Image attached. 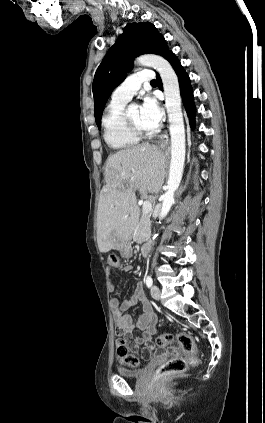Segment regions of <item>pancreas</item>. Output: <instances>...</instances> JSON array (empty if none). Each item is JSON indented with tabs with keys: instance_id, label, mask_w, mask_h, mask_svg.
Instances as JSON below:
<instances>
[{
	"instance_id": "obj_1",
	"label": "pancreas",
	"mask_w": 265,
	"mask_h": 423,
	"mask_svg": "<svg viewBox=\"0 0 265 423\" xmlns=\"http://www.w3.org/2000/svg\"><path fill=\"white\" fill-rule=\"evenodd\" d=\"M150 217V213L142 212L140 221L133 234V238L135 241L142 242L148 237L151 226Z\"/></svg>"
}]
</instances>
